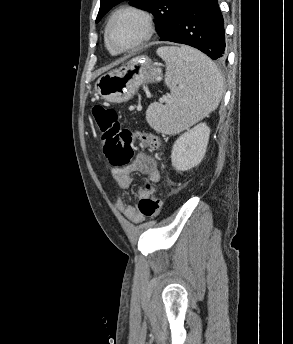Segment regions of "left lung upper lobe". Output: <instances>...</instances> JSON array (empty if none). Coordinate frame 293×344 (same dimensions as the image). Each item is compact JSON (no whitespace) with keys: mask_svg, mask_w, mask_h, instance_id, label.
I'll return each instance as SVG.
<instances>
[{"mask_svg":"<svg viewBox=\"0 0 293 344\" xmlns=\"http://www.w3.org/2000/svg\"><path fill=\"white\" fill-rule=\"evenodd\" d=\"M129 1V4L151 12L155 16V25L159 36L164 37L171 29L187 0H101L96 19H100L114 6Z\"/></svg>","mask_w":293,"mask_h":344,"instance_id":"left-lung-upper-lobe-1","label":"left lung upper lobe"}]
</instances>
